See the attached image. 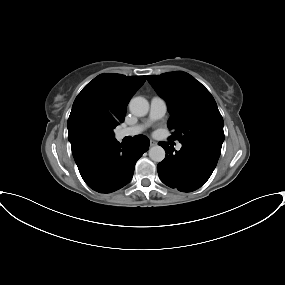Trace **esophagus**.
I'll return each mask as SVG.
<instances>
[{
	"label": "esophagus",
	"instance_id": "34e87169",
	"mask_svg": "<svg viewBox=\"0 0 285 285\" xmlns=\"http://www.w3.org/2000/svg\"><path fill=\"white\" fill-rule=\"evenodd\" d=\"M155 145H157L156 141L150 140V146L153 147V146H155Z\"/></svg>",
	"mask_w": 285,
	"mask_h": 285
}]
</instances>
